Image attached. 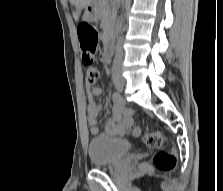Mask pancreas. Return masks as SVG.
<instances>
[{"instance_id": "1", "label": "pancreas", "mask_w": 223, "mask_h": 191, "mask_svg": "<svg viewBox=\"0 0 223 191\" xmlns=\"http://www.w3.org/2000/svg\"><path fill=\"white\" fill-rule=\"evenodd\" d=\"M98 17L101 20V27L105 33L112 28L114 21V6L110 0H98L95 4Z\"/></svg>"}]
</instances>
